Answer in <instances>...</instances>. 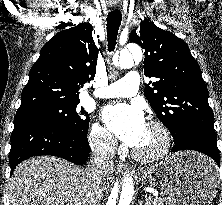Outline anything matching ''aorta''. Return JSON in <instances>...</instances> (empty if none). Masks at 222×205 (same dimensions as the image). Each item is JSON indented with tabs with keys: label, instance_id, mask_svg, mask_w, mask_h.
I'll return each mask as SVG.
<instances>
[{
	"label": "aorta",
	"instance_id": "1",
	"mask_svg": "<svg viewBox=\"0 0 222 205\" xmlns=\"http://www.w3.org/2000/svg\"><path fill=\"white\" fill-rule=\"evenodd\" d=\"M132 53L138 58L142 57L141 49L137 46H129L128 49L120 51L117 58L113 60L114 65L122 68L129 69L134 66ZM136 191V182L132 174L125 175L121 187L116 184L111 191L106 205H130Z\"/></svg>",
	"mask_w": 222,
	"mask_h": 205
}]
</instances>
